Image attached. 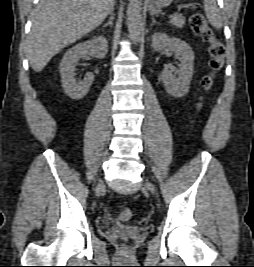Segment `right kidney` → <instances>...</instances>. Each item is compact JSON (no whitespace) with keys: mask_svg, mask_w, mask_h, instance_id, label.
<instances>
[{"mask_svg":"<svg viewBox=\"0 0 254 267\" xmlns=\"http://www.w3.org/2000/svg\"><path fill=\"white\" fill-rule=\"evenodd\" d=\"M108 52V42L104 36H97L89 41L76 44L63 56L60 63L61 82L64 92L72 99L83 98L94 80L92 73H87L83 81H76V65L81 58L94 55L104 58Z\"/></svg>","mask_w":254,"mask_h":267,"instance_id":"obj_1","label":"right kidney"}]
</instances>
